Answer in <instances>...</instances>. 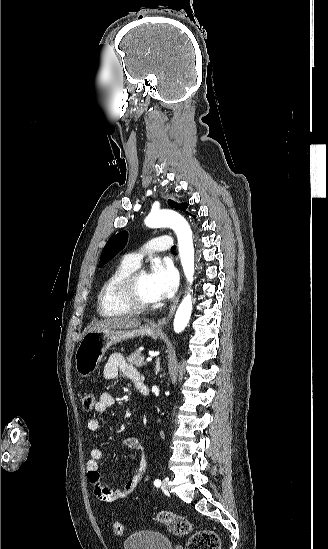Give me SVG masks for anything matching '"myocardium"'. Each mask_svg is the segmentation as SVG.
I'll list each match as a JSON object with an SVG mask.
<instances>
[{"mask_svg": "<svg viewBox=\"0 0 328 549\" xmlns=\"http://www.w3.org/2000/svg\"><path fill=\"white\" fill-rule=\"evenodd\" d=\"M156 262H142L137 268L124 277H122L114 288V297L119 302L113 308L120 313H125L130 316H140L152 311L156 306L155 302H144L135 294V285L138 279L147 273V267L154 265Z\"/></svg>", "mask_w": 328, "mask_h": 549, "instance_id": "1", "label": "myocardium"}]
</instances>
